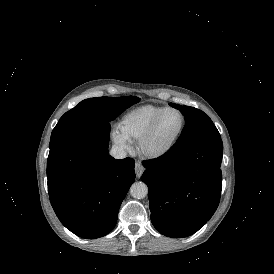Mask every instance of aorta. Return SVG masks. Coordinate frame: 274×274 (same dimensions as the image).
Wrapping results in <instances>:
<instances>
[{"instance_id": "obj_1", "label": "aorta", "mask_w": 274, "mask_h": 274, "mask_svg": "<svg viewBox=\"0 0 274 274\" xmlns=\"http://www.w3.org/2000/svg\"><path fill=\"white\" fill-rule=\"evenodd\" d=\"M130 194L133 198L143 199L148 194V187L141 181L134 182L130 187Z\"/></svg>"}]
</instances>
